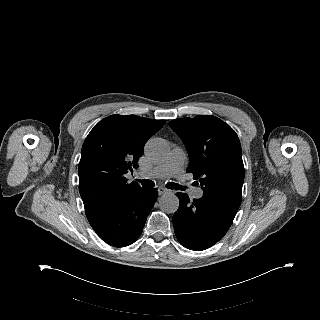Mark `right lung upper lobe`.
<instances>
[{"label":"right lung upper lobe","instance_id":"1","mask_svg":"<svg viewBox=\"0 0 320 320\" xmlns=\"http://www.w3.org/2000/svg\"><path fill=\"white\" fill-rule=\"evenodd\" d=\"M164 124V120L136 115H111L91 130L78 168L86 214L117 203L141 188L136 182L128 183L125 174L137 168L146 141Z\"/></svg>","mask_w":320,"mask_h":320}]
</instances>
